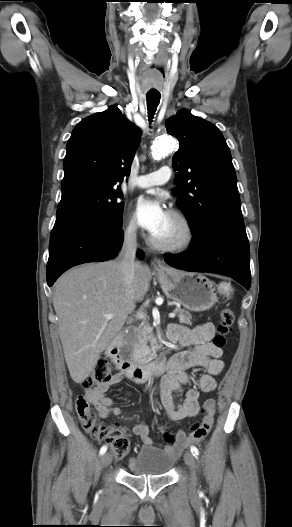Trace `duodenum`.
<instances>
[{"label":"duodenum","mask_w":292,"mask_h":527,"mask_svg":"<svg viewBox=\"0 0 292 527\" xmlns=\"http://www.w3.org/2000/svg\"><path fill=\"white\" fill-rule=\"evenodd\" d=\"M121 340L122 335H117L109 344L107 353L128 378L144 383L164 373L166 362L163 357L144 364L134 363L123 356L120 348Z\"/></svg>","instance_id":"410a0bca"}]
</instances>
